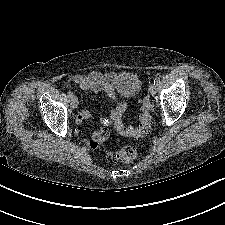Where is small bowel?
<instances>
[{"label":"small bowel","mask_w":225,"mask_h":225,"mask_svg":"<svg viewBox=\"0 0 225 225\" xmlns=\"http://www.w3.org/2000/svg\"><path fill=\"white\" fill-rule=\"evenodd\" d=\"M69 83L84 91L94 93L105 92L111 99L117 102L116 109L113 110V117L124 109L122 98L135 96L141 89V80L130 72H109L102 73L93 71L89 74H75L69 78ZM88 110H82L76 117V122L81 124L85 119L90 118ZM95 137L88 140V145L96 147Z\"/></svg>","instance_id":"c3829d8e"}]
</instances>
